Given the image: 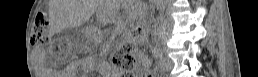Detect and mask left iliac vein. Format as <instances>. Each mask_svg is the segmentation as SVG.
I'll return each instance as SVG.
<instances>
[{"label":"left iliac vein","mask_w":258,"mask_h":77,"mask_svg":"<svg viewBox=\"0 0 258 77\" xmlns=\"http://www.w3.org/2000/svg\"><path fill=\"white\" fill-rule=\"evenodd\" d=\"M160 70L163 72H169L173 68V62L171 59L167 57H161L159 60Z\"/></svg>","instance_id":"obj_1"}]
</instances>
